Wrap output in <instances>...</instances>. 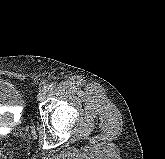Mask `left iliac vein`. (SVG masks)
I'll use <instances>...</instances> for the list:
<instances>
[{"label":"left iliac vein","mask_w":165,"mask_h":159,"mask_svg":"<svg viewBox=\"0 0 165 159\" xmlns=\"http://www.w3.org/2000/svg\"><path fill=\"white\" fill-rule=\"evenodd\" d=\"M46 95H47V89L46 88H42L39 91L38 95H37L38 101H40V102L44 101L45 98H46Z\"/></svg>","instance_id":"obj_1"}]
</instances>
